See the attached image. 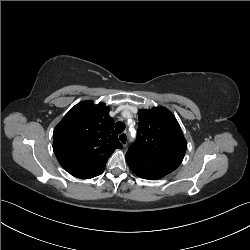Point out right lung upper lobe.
I'll use <instances>...</instances> for the list:
<instances>
[{"instance_id": "1", "label": "right lung upper lobe", "mask_w": 250, "mask_h": 250, "mask_svg": "<svg viewBox=\"0 0 250 250\" xmlns=\"http://www.w3.org/2000/svg\"><path fill=\"white\" fill-rule=\"evenodd\" d=\"M109 110L104 103L80 102L55 127L53 150L71 175L81 179L100 175L115 149L123 147Z\"/></svg>"}]
</instances>
